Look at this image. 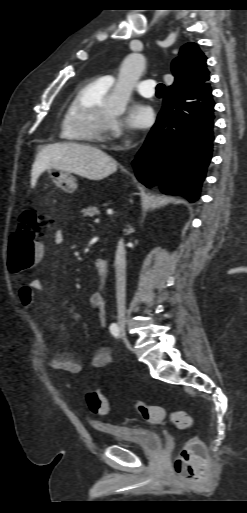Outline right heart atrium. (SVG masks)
Returning <instances> with one entry per match:
<instances>
[{
    "label": "right heart atrium",
    "mask_w": 247,
    "mask_h": 513,
    "mask_svg": "<svg viewBox=\"0 0 247 513\" xmlns=\"http://www.w3.org/2000/svg\"><path fill=\"white\" fill-rule=\"evenodd\" d=\"M109 130L115 137L124 136L127 133L126 127L119 120L110 121Z\"/></svg>",
    "instance_id": "right-heart-atrium-1"
}]
</instances>
